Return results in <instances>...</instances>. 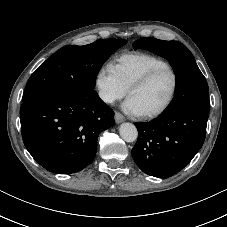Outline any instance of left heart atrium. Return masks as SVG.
Here are the masks:
<instances>
[{"mask_svg": "<svg viewBox=\"0 0 227 227\" xmlns=\"http://www.w3.org/2000/svg\"><path fill=\"white\" fill-rule=\"evenodd\" d=\"M123 109L128 114L132 115H142V112L136 102L129 97L124 103H123Z\"/></svg>", "mask_w": 227, "mask_h": 227, "instance_id": "1", "label": "left heart atrium"}]
</instances>
